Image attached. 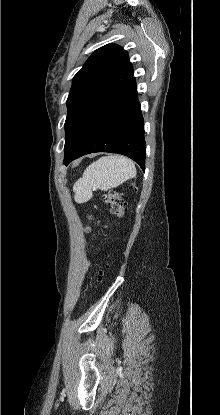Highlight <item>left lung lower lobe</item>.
I'll return each mask as SVG.
<instances>
[{"instance_id": "obj_1", "label": "left lung lower lobe", "mask_w": 220, "mask_h": 415, "mask_svg": "<svg viewBox=\"0 0 220 415\" xmlns=\"http://www.w3.org/2000/svg\"><path fill=\"white\" fill-rule=\"evenodd\" d=\"M93 152L125 155L145 171L144 120L133 76L113 81L92 104L65 151L64 164Z\"/></svg>"}]
</instances>
